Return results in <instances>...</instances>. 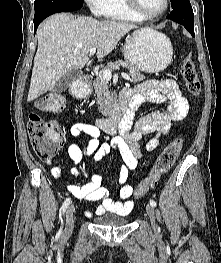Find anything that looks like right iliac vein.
Wrapping results in <instances>:
<instances>
[{
	"instance_id": "1",
	"label": "right iliac vein",
	"mask_w": 221,
	"mask_h": 263,
	"mask_svg": "<svg viewBox=\"0 0 221 263\" xmlns=\"http://www.w3.org/2000/svg\"><path fill=\"white\" fill-rule=\"evenodd\" d=\"M74 205L71 204L66 212V226H65V233H70L74 227Z\"/></svg>"
}]
</instances>
